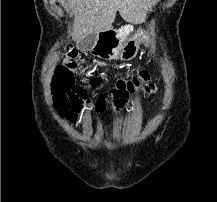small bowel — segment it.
I'll use <instances>...</instances> for the list:
<instances>
[{"label":"small bowel","mask_w":217,"mask_h":202,"mask_svg":"<svg viewBox=\"0 0 217 202\" xmlns=\"http://www.w3.org/2000/svg\"><path fill=\"white\" fill-rule=\"evenodd\" d=\"M86 90H97V85H86Z\"/></svg>","instance_id":"obj_1"}]
</instances>
